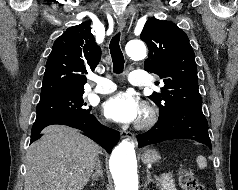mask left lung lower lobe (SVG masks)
Instances as JSON below:
<instances>
[{"label":"left lung lower lobe","instance_id":"0a47b994","mask_svg":"<svg viewBox=\"0 0 238 190\" xmlns=\"http://www.w3.org/2000/svg\"><path fill=\"white\" fill-rule=\"evenodd\" d=\"M178 138L191 139L211 146L202 107H177L165 114H159L157 123L146 133L137 136L140 148Z\"/></svg>","mask_w":238,"mask_h":190}]
</instances>
